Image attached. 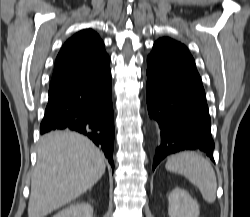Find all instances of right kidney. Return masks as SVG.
<instances>
[{"label": "right kidney", "mask_w": 250, "mask_h": 217, "mask_svg": "<svg viewBox=\"0 0 250 217\" xmlns=\"http://www.w3.org/2000/svg\"><path fill=\"white\" fill-rule=\"evenodd\" d=\"M53 217H93V208L85 202L75 203L59 211Z\"/></svg>", "instance_id": "1"}]
</instances>
